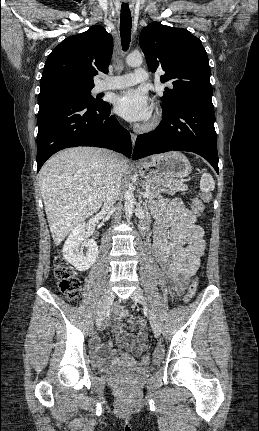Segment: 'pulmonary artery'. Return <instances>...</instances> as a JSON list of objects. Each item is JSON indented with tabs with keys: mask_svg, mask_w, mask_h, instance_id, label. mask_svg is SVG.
I'll return each instance as SVG.
<instances>
[{
	"mask_svg": "<svg viewBox=\"0 0 259 431\" xmlns=\"http://www.w3.org/2000/svg\"><path fill=\"white\" fill-rule=\"evenodd\" d=\"M149 79L148 72L142 68H137L134 73L107 77L100 84L99 90H114L131 87L137 83L146 82Z\"/></svg>",
	"mask_w": 259,
	"mask_h": 431,
	"instance_id": "e3ab8cb5",
	"label": "pulmonary artery"
}]
</instances>
